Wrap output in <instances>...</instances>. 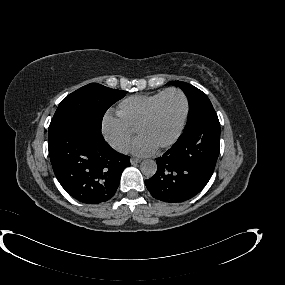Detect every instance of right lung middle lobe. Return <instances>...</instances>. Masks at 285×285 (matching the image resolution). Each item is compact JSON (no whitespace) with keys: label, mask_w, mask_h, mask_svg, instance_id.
<instances>
[{"label":"right lung middle lobe","mask_w":285,"mask_h":285,"mask_svg":"<svg viewBox=\"0 0 285 285\" xmlns=\"http://www.w3.org/2000/svg\"><path fill=\"white\" fill-rule=\"evenodd\" d=\"M126 93L97 83L74 91L59 104L49 126V137L73 124H82L101 131L105 112Z\"/></svg>","instance_id":"1"}]
</instances>
